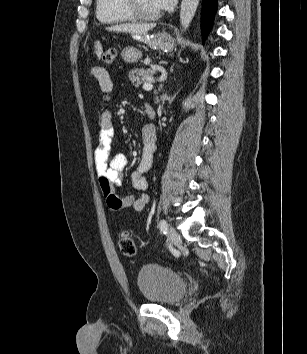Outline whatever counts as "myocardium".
I'll list each match as a JSON object with an SVG mask.
<instances>
[{
	"mask_svg": "<svg viewBox=\"0 0 307 354\" xmlns=\"http://www.w3.org/2000/svg\"><path fill=\"white\" fill-rule=\"evenodd\" d=\"M124 6L128 13L135 19L140 20H155L160 16V12L149 14L142 11L137 3V0H123Z\"/></svg>",
	"mask_w": 307,
	"mask_h": 354,
	"instance_id": "f54148a6",
	"label": "myocardium"
}]
</instances>
